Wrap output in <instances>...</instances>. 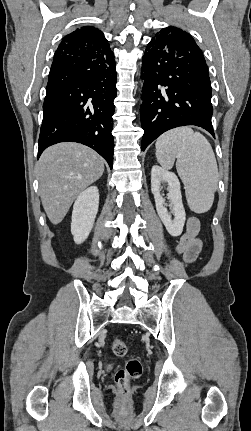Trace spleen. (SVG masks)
I'll return each mask as SVG.
<instances>
[{
    "mask_svg": "<svg viewBox=\"0 0 251 431\" xmlns=\"http://www.w3.org/2000/svg\"><path fill=\"white\" fill-rule=\"evenodd\" d=\"M156 158L164 169H176L181 178L187 203L195 213L207 212L214 201L218 167L208 140L190 127H178L156 141Z\"/></svg>",
    "mask_w": 251,
    "mask_h": 431,
    "instance_id": "3e777b00",
    "label": "spleen"
}]
</instances>
